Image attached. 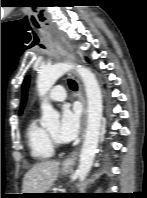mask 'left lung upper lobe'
<instances>
[{"mask_svg":"<svg viewBox=\"0 0 147 198\" xmlns=\"http://www.w3.org/2000/svg\"><path fill=\"white\" fill-rule=\"evenodd\" d=\"M28 85H29V76H27L24 80V83H23V103H22V108H21V111L20 113L22 112V109H23V106L25 104V99H26V95H27V91H28Z\"/></svg>","mask_w":147,"mask_h":198,"instance_id":"obj_1","label":"left lung upper lobe"}]
</instances>
